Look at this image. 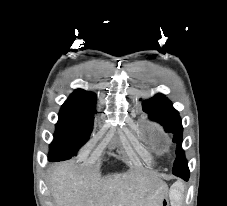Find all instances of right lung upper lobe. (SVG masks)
Instances as JSON below:
<instances>
[{
    "mask_svg": "<svg viewBox=\"0 0 227 206\" xmlns=\"http://www.w3.org/2000/svg\"><path fill=\"white\" fill-rule=\"evenodd\" d=\"M69 99L87 100V99H96V96L92 92H87L82 89H77L70 95Z\"/></svg>",
    "mask_w": 227,
    "mask_h": 206,
    "instance_id": "obj_1",
    "label": "right lung upper lobe"
}]
</instances>
